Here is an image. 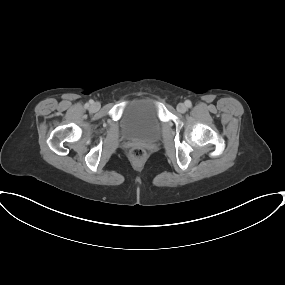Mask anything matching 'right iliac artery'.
Wrapping results in <instances>:
<instances>
[{
	"label": "right iliac artery",
	"mask_w": 285,
	"mask_h": 285,
	"mask_svg": "<svg viewBox=\"0 0 285 285\" xmlns=\"http://www.w3.org/2000/svg\"><path fill=\"white\" fill-rule=\"evenodd\" d=\"M89 103H90V104H93V100H90ZM85 106L88 107L89 104L87 103Z\"/></svg>",
	"instance_id": "1"
}]
</instances>
